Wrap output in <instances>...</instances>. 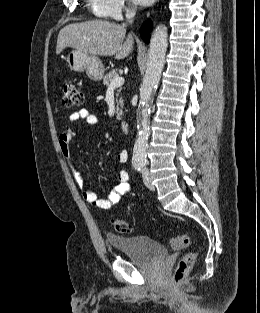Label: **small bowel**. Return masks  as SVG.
I'll use <instances>...</instances> for the list:
<instances>
[{"instance_id": "small-bowel-1", "label": "small bowel", "mask_w": 260, "mask_h": 313, "mask_svg": "<svg viewBox=\"0 0 260 313\" xmlns=\"http://www.w3.org/2000/svg\"><path fill=\"white\" fill-rule=\"evenodd\" d=\"M69 121L74 123L78 121H84L87 125L93 126L98 123V118L88 109H81L77 112L72 113L69 116ZM74 135V129L71 126H67L58 136V142L60 146L61 153L67 159L74 180L81 191L83 199L93 207L98 209H111L116 206L121 198L130 192L131 186L129 184V174L126 171H120L117 175V184L113 188L111 194L105 198L101 199L97 196L96 192L87 188L85 182L73 164L71 151L69 143ZM117 161L121 164H124L128 160L127 150H120L117 153Z\"/></svg>"}]
</instances>
